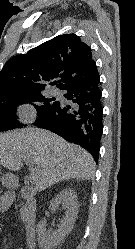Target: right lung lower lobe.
<instances>
[{
    "instance_id": "obj_1",
    "label": "right lung lower lobe",
    "mask_w": 135,
    "mask_h": 249,
    "mask_svg": "<svg viewBox=\"0 0 135 249\" xmlns=\"http://www.w3.org/2000/svg\"><path fill=\"white\" fill-rule=\"evenodd\" d=\"M100 76L75 83L65 90V98L74 105L56 101L48 111L39 115L34 125L50 130L64 139L81 145L97 162L103 132Z\"/></svg>"
}]
</instances>
